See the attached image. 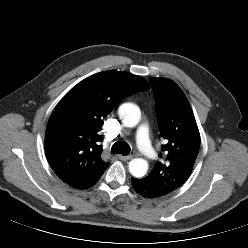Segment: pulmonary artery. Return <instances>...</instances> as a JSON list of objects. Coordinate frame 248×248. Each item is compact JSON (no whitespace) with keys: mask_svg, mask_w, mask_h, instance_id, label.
I'll use <instances>...</instances> for the list:
<instances>
[{"mask_svg":"<svg viewBox=\"0 0 248 248\" xmlns=\"http://www.w3.org/2000/svg\"><path fill=\"white\" fill-rule=\"evenodd\" d=\"M136 143L140 151L147 156L152 157L155 155L150 144L149 129L147 125L142 124L141 126H139L136 133Z\"/></svg>","mask_w":248,"mask_h":248,"instance_id":"e3ab8cb5","label":"pulmonary artery"}]
</instances>
